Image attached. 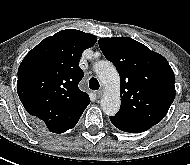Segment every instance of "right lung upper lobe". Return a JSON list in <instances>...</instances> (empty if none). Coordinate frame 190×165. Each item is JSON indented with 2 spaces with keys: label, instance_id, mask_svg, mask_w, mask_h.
<instances>
[{
  "label": "right lung upper lobe",
  "instance_id": "right-lung-upper-lobe-1",
  "mask_svg": "<svg viewBox=\"0 0 190 165\" xmlns=\"http://www.w3.org/2000/svg\"><path fill=\"white\" fill-rule=\"evenodd\" d=\"M96 41L89 33L62 30L29 51L19 66L17 92L24 108L53 133L73 128L90 103L78 88L84 76L78 64Z\"/></svg>",
  "mask_w": 190,
  "mask_h": 165
}]
</instances>
